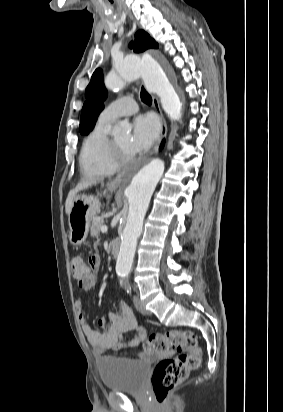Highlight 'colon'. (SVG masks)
I'll return each mask as SVG.
<instances>
[{"label":"colon","mask_w":283,"mask_h":412,"mask_svg":"<svg viewBox=\"0 0 283 412\" xmlns=\"http://www.w3.org/2000/svg\"><path fill=\"white\" fill-rule=\"evenodd\" d=\"M73 278L82 282L97 269L95 255L85 261L75 256L70 263ZM176 349L175 357L162 359L154 369L151 385L158 403H164L170 391L181 384L189 373L201 363L202 353L197 345V336L189 330H169L164 334L151 335L144 343V349L151 353H164Z\"/></svg>","instance_id":"5ec220e1"}]
</instances>
